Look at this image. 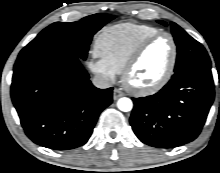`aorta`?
I'll list each match as a JSON object with an SVG mask.
<instances>
[{"label": "aorta", "mask_w": 220, "mask_h": 173, "mask_svg": "<svg viewBox=\"0 0 220 173\" xmlns=\"http://www.w3.org/2000/svg\"><path fill=\"white\" fill-rule=\"evenodd\" d=\"M117 106H118L119 110H121L123 112H129L133 108V103H132L131 99H129L127 97H123L118 100Z\"/></svg>", "instance_id": "1"}]
</instances>
